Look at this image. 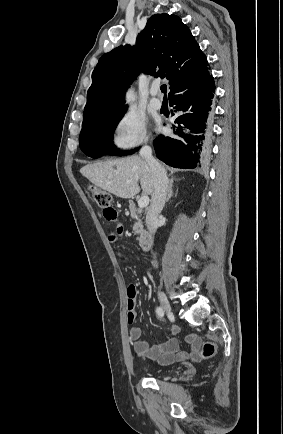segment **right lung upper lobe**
Here are the masks:
<instances>
[{
    "instance_id": "obj_1",
    "label": "right lung upper lobe",
    "mask_w": 283,
    "mask_h": 434,
    "mask_svg": "<svg viewBox=\"0 0 283 434\" xmlns=\"http://www.w3.org/2000/svg\"><path fill=\"white\" fill-rule=\"evenodd\" d=\"M140 72L167 78L169 96L193 91L212 76L205 54L176 15H153L136 45L119 46L99 59L92 73L82 129L126 111L123 95Z\"/></svg>"
}]
</instances>
